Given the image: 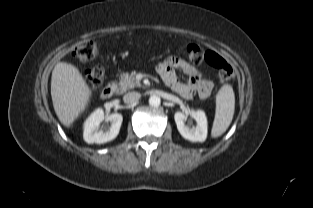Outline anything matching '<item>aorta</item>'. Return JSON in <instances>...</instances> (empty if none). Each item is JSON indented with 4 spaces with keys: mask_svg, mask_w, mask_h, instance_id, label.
<instances>
[{
    "mask_svg": "<svg viewBox=\"0 0 313 208\" xmlns=\"http://www.w3.org/2000/svg\"><path fill=\"white\" fill-rule=\"evenodd\" d=\"M161 99L159 96L153 95L149 98V104L152 107H158L160 106Z\"/></svg>",
    "mask_w": 313,
    "mask_h": 208,
    "instance_id": "obj_1",
    "label": "aorta"
}]
</instances>
